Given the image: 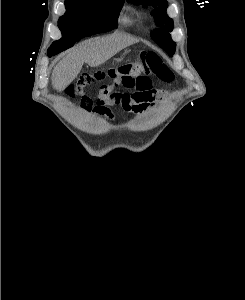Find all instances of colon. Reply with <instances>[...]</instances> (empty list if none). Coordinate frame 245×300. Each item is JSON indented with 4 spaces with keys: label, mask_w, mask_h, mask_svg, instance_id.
<instances>
[{
    "label": "colon",
    "mask_w": 245,
    "mask_h": 300,
    "mask_svg": "<svg viewBox=\"0 0 245 300\" xmlns=\"http://www.w3.org/2000/svg\"><path fill=\"white\" fill-rule=\"evenodd\" d=\"M144 74H153L159 81L170 83L174 75L163 59L156 52L143 51L137 59L109 70H97L91 73H84L80 76L78 83L69 89V94L74 96L82 94L85 89L96 83H103L108 78L120 81L122 86L131 88L134 83ZM156 97L161 95L155 90Z\"/></svg>",
    "instance_id": "obj_1"
}]
</instances>
